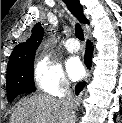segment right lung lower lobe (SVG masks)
I'll list each match as a JSON object with an SVG mask.
<instances>
[{"instance_id":"1","label":"right lung lower lobe","mask_w":122,"mask_h":123,"mask_svg":"<svg viewBox=\"0 0 122 123\" xmlns=\"http://www.w3.org/2000/svg\"><path fill=\"white\" fill-rule=\"evenodd\" d=\"M93 49L90 41L87 42L86 52H85V64L87 67H90L91 65V55H92ZM85 86V82L79 83L76 85V94H78L80 91H82L83 87Z\"/></svg>"}]
</instances>
